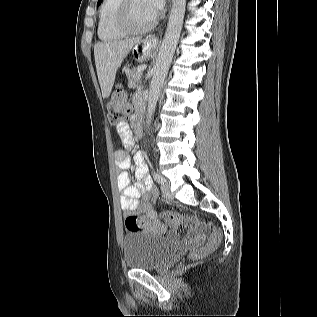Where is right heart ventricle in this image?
<instances>
[{
	"label": "right heart ventricle",
	"instance_id": "obj_1",
	"mask_svg": "<svg viewBox=\"0 0 317 317\" xmlns=\"http://www.w3.org/2000/svg\"><path fill=\"white\" fill-rule=\"evenodd\" d=\"M120 0H103L99 9L98 37L104 42H113L126 34L115 25V14Z\"/></svg>",
	"mask_w": 317,
	"mask_h": 317
}]
</instances>
